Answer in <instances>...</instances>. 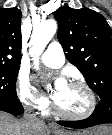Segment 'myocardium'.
Here are the masks:
<instances>
[{
	"label": "myocardium",
	"mask_w": 112,
	"mask_h": 135,
	"mask_svg": "<svg viewBox=\"0 0 112 135\" xmlns=\"http://www.w3.org/2000/svg\"><path fill=\"white\" fill-rule=\"evenodd\" d=\"M69 84L79 86L85 90L87 94V99H88V106L86 110L81 113L66 112L58 106L55 100H53L52 102L53 111L57 115L63 118L69 119V120H84V119L89 118L95 112L96 107H97V101H96V96H95L94 91L86 82L82 80H72L70 81Z\"/></svg>",
	"instance_id": "myocardium-1"
}]
</instances>
